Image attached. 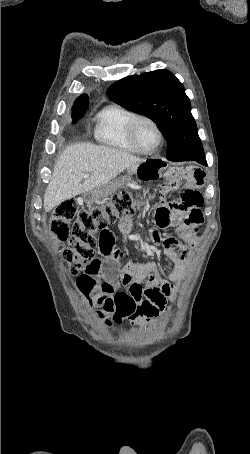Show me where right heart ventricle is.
Returning <instances> with one entry per match:
<instances>
[{
	"label": "right heart ventricle",
	"mask_w": 250,
	"mask_h": 454,
	"mask_svg": "<svg viewBox=\"0 0 250 454\" xmlns=\"http://www.w3.org/2000/svg\"><path fill=\"white\" fill-rule=\"evenodd\" d=\"M135 116V112L120 104L106 106L95 117L96 140L116 150L140 153L130 142L128 134L129 124Z\"/></svg>",
	"instance_id": "right-heart-ventricle-1"
}]
</instances>
